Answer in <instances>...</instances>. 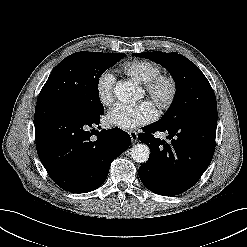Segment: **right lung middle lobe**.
I'll return each mask as SVG.
<instances>
[{"mask_svg":"<svg viewBox=\"0 0 247 247\" xmlns=\"http://www.w3.org/2000/svg\"><path fill=\"white\" fill-rule=\"evenodd\" d=\"M124 56V53L83 51L69 55L52 71L37 102L55 101L84 116H100L104 107L99 99L98 80Z\"/></svg>","mask_w":247,"mask_h":247,"instance_id":"dd1d6c3e","label":"right lung middle lobe"}]
</instances>
